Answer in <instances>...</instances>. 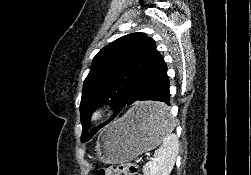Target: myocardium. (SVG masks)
I'll use <instances>...</instances> for the list:
<instances>
[{
    "label": "myocardium",
    "mask_w": 251,
    "mask_h": 175,
    "mask_svg": "<svg viewBox=\"0 0 251 175\" xmlns=\"http://www.w3.org/2000/svg\"><path fill=\"white\" fill-rule=\"evenodd\" d=\"M88 117L93 124L103 125L111 119L112 109L106 104H98L90 109Z\"/></svg>",
    "instance_id": "myocardium-1"
}]
</instances>
